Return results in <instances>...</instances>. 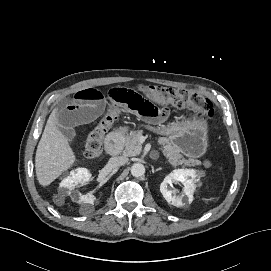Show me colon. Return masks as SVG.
I'll return each instance as SVG.
<instances>
[{
  "label": "colon",
  "mask_w": 271,
  "mask_h": 271,
  "mask_svg": "<svg viewBox=\"0 0 271 271\" xmlns=\"http://www.w3.org/2000/svg\"><path fill=\"white\" fill-rule=\"evenodd\" d=\"M146 90L163 103H168L178 108H188L190 111L200 114L205 119L211 118L214 114L211 101L196 93L160 86L149 87ZM121 111L120 107L112 105L89 133L84 150L86 159L92 160L100 155L104 135Z\"/></svg>",
  "instance_id": "obj_1"
}]
</instances>
